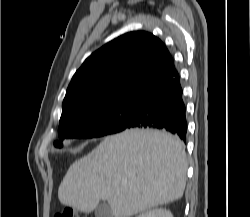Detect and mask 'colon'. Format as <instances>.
<instances>
[{
	"mask_svg": "<svg viewBox=\"0 0 250 217\" xmlns=\"http://www.w3.org/2000/svg\"><path fill=\"white\" fill-rule=\"evenodd\" d=\"M54 217H81L80 214L73 208H66L61 213L56 214Z\"/></svg>",
	"mask_w": 250,
	"mask_h": 217,
	"instance_id": "colon-1",
	"label": "colon"
}]
</instances>
